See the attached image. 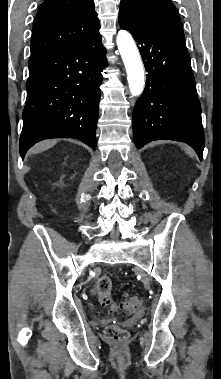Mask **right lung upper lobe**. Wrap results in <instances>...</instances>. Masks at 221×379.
Segmentation results:
<instances>
[{
	"instance_id": "obj_1",
	"label": "right lung upper lobe",
	"mask_w": 221,
	"mask_h": 379,
	"mask_svg": "<svg viewBox=\"0 0 221 379\" xmlns=\"http://www.w3.org/2000/svg\"><path fill=\"white\" fill-rule=\"evenodd\" d=\"M99 28L93 0H45L34 19L28 62L76 45Z\"/></svg>"
}]
</instances>
